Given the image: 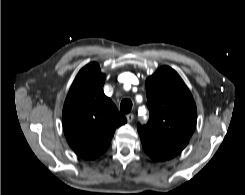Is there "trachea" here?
<instances>
[{
  "instance_id": "obj_1",
  "label": "trachea",
  "mask_w": 245,
  "mask_h": 195,
  "mask_svg": "<svg viewBox=\"0 0 245 195\" xmlns=\"http://www.w3.org/2000/svg\"><path fill=\"white\" fill-rule=\"evenodd\" d=\"M131 109H132V101L130 99L122 100V102L120 104L121 112L127 114L131 111Z\"/></svg>"
}]
</instances>
